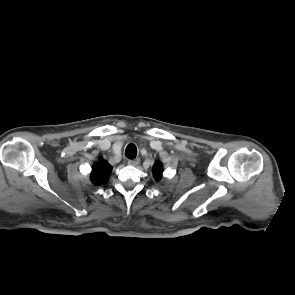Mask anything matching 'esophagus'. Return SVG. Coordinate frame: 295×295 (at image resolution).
Masks as SVG:
<instances>
[{
	"mask_svg": "<svg viewBox=\"0 0 295 295\" xmlns=\"http://www.w3.org/2000/svg\"><path fill=\"white\" fill-rule=\"evenodd\" d=\"M140 163V159L136 158V159H131L128 161V164L130 166H137Z\"/></svg>",
	"mask_w": 295,
	"mask_h": 295,
	"instance_id": "esophagus-1",
	"label": "esophagus"
}]
</instances>
